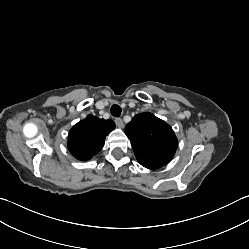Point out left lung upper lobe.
<instances>
[{
  "mask_svg": "<svg viewBox=\"0 0 249 249\" xmlns=\"http://www.w3.org/2000/svg\"><path fill=\"white\" fill-rule=\"evenodd\" d=\"M125 134L131 141L138 162L148 169H158L173 158L178 141L172 128L155 115H135Z\"/></svg>",
  "mask_w": 249,
  "mask_h": 249,
  "instance_id": "5c2ea615",
  "label": "left lung upper lobe"
}]
</instances>
